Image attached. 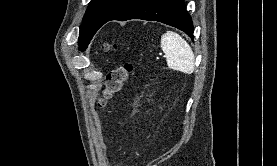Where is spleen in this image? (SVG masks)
<instances>
[{
	"label": "spleen",
	"instance_id": "obj_1",
	"mask_svg": "<svg viewBox=\"0 0 277 166\" xmlns=\"http://www.w3.org/2000/svg\"><path fill=\"white\" fill-rule=\"evenodd\" d=\"M161 48L169 68L191 74L194 71V53L189 44L177 33L167 31L161 36Z\"/></svg>",
	"mask_w": 277,
	"mask_h": 166
}]
</instances>
